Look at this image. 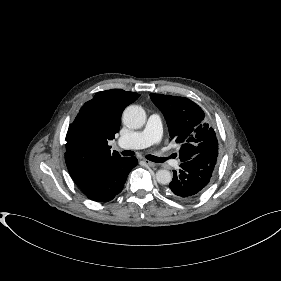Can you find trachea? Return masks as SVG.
<instances>
[{
  "instance_id": "3493384b",
  "label": "trachea",
  "mask_w": 281,
  "mask_h": 281,
  "mask_svg": "<svg viewBox=\"0 0 281 281\" xmlns=\"http://www.w3.org/2000/svg\"><path fill=\"white\" fill-rule=\"evenodd\" d=\"M123 156H133L135 153L133 151H130V150H124L123 152H121ZM172 157V156H170ZM168 157V158H170ZM146 158L150 161H153V162H156V163H162V162H165L166 159L168 158H165V157H156V156H153V155H146Z\"/></svg>"
}]
</instances>
